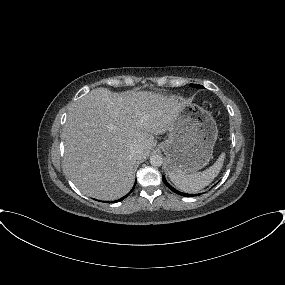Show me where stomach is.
Listing matches in <instances>:
<instances>
[{"label": "stomach", "instance_id": "stomach-1", "mask_svg": "<svg viewBox=\"0 0 285 285\" xmlns=\"http://www.w3.org/2000/svg\"><path fill=\"white\" fill-rule=\"evenodd\" d=\"M168 131V138L159 144L168 173L191 174L209 163L218 129L208 111L195 104L185 105Z\"/></svg>", "mask_w": 285, "mask_h": 285}]
</instances>
